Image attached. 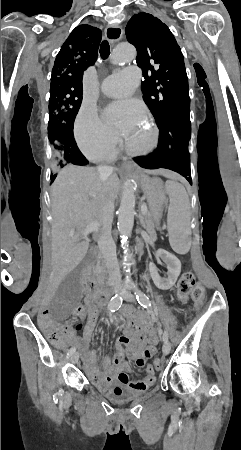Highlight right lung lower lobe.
I'll use <instances>...</instances> for the list:
<instances>
[{"label": "right lung lower lobe", "instance_id": "1", "mask_svg": "<svg viewBox=\"0 0 241 450\" xmlns=\"http://www.w3.org/2000/svg\"><path fill=\"white\" fill-rule=\"evenodd\" d=\"M63 138L67 145L69 162L74 165L88 164L89 163L88 160L83 156V154L78 149L73 135H64ZM55 178H56V175H52L51 182H53Z\"/></svg>", "mask_w": 241, "mask_h": 450}]
</instances>
